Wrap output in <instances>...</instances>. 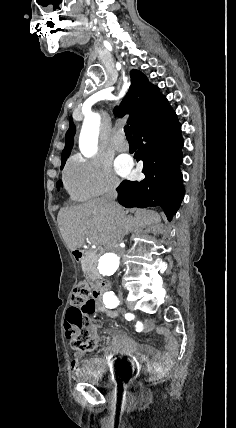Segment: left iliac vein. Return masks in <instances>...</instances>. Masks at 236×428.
<instances>
[{
	"instance_id": "1",
	"label": "left iliac vein",
	"mask_w": 236,
	"mask_h": 428,
	"mask_svg": "<svg viewBox=\"0 0 236 428\" xmlns=\"http://www.w3.org/2000/svg\"><path fill=\"white\" fill-rule=\"evenodd\" d=\"M123 295H124V294H123V292H118V297H119L121 300L123 299V298H122V297H123Z\"/></svg>"
}]
</instances>
